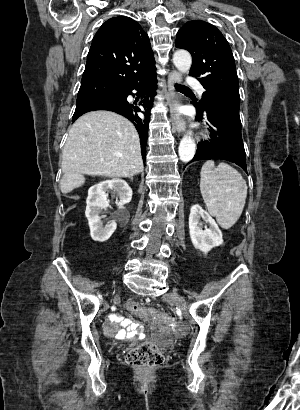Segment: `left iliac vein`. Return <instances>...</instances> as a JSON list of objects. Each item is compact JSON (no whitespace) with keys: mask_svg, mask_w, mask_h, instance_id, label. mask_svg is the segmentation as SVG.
Here are the masks:
<instances>
[{"mask_svg":"<svg viewBox=\"0 0 300 410\" xmlns=\"http://www.w3.org/2000/svg\"><path fill=\"white\" fill-rule=\"evenodd\" d=\"M163 299L165 301L175 303L181 308L186 307L185 299L181 295H179L177 292H168L167 294L164 295Z\"/></svg>","mask_w":300,"mask_h":410,"instance_id":"obj_1","label":"left iliac vein"}]
</instances>
